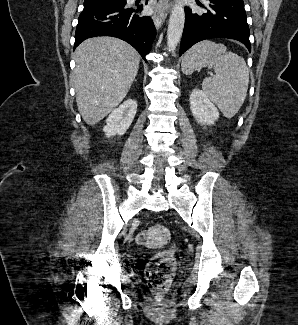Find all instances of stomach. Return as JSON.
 <instances>
[{
  "instance_id": "stomach-1",
  "label": "stomach",
  "mask_w": 298,
  "mask_h": 325,
  "mask_svg": "<svg viewBox=\"0 0 298 325\" xmlns=\"http://www.w3.org/2000/svg\"><path fill=\"white\" fill-rule=\"evenodd\" d=\"M182 62H183V64H184V62H185V54H184V56H183V58H182Z\"/></svg>"
}]
</instances>
